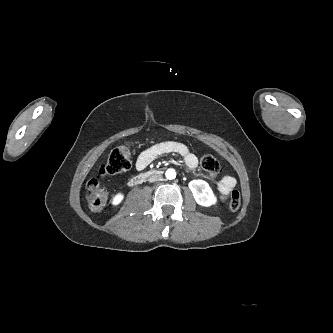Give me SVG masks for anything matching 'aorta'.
I'll return each instance as SVG.
<instances>
[{
  "instance_id": "obj_1",
  "label": "aorta",
  "mask_w": 333,
  "mask_h": 333,
  "mask_svg": "<svg viewBox=\"0 0 333 333\" xmlns=\"http://www.w3.org/2000/svg\"><path fill=\"white\" fill-rule=\"evenodd\" d=\"M165 176L167 179L172 180L176 177V172L174 169H168L165 173Z\"/></svg>"
}]
</instances>
